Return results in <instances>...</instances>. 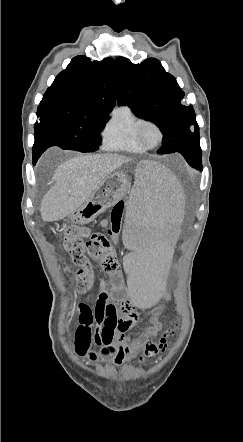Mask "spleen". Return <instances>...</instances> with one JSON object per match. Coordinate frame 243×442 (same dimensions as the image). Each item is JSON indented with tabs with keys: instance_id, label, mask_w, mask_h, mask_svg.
Masks as SVG:
<instances>
[{
	"instance_id": "1",
	"label": "spleen",
	"mask_w": 243,
	"mask_h": 442,
	"mask_svg": "<svg viewBox=\"0 0 243 442\" xmlns=\"http://www.w3.org/2000/svg\"><path fill=\"white\" fill-rule=\"evenodd\" d=\"M164 163H137L134 183L125 206L122 237L130 248L123 268L130 280L125 289L133 307H155L165 296L170 259L175 258L178 226H186L184 193Z\"/></svg>"
}]
</instances>
